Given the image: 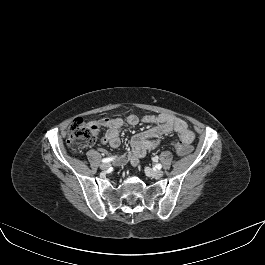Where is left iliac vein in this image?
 Returning <instances> with one entry per match:
<instances>
[{"mask_svg": "<svg viewBox=\"0 0 265 265\" xmlns=\"http://www.w3.org/2000/svg\"><path fill=\"white\" fill-rule=\"evenodd\" d=\"M145 171L148 176L153 178H161L164 175L163 171L161 170H152L150 168H146Z\"/></svg>", "mask_w": 265, "mask_h": 265, "instance_id": "1", "label": "left iliac vein"}]
</instances>
